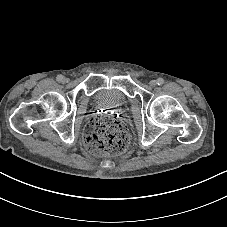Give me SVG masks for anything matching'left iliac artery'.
<instances>
[{
	"label": "left iliac artery",
	"mask_w": 227,
	"mask_h": 227,
	"mask_svg": "<svg viewBox=\"0 0 227 227\" xmlns=\"http://www.w3.org/2000/svg\"><path fill=\"white\" fill-rule=\"evenodd\" d=\"M164 83V79L163 78H158L157 79V84L158 85H162Z\"/></svg>",
	"instance_id": "1"
}]
</instances>
